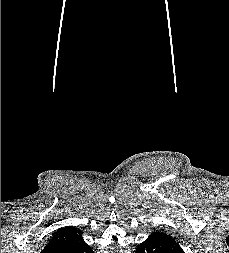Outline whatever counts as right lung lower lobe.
<instances>
[{
    "label": "right lung lower lobe",
    "mask_w": 229,
    "mask_h": 253,
    "mask_svg": "<svg viewBox=\"0 0 229 253\" xmlns=\"http://www.w3.org/2000/svg\"><path fill=\"white\" fill-rule=\"evenodd\" d=\"M53 253H93L92 249L87 245L84 241L83 238L67 247L58 249L54 251Z\"/></svg>",
    "instance_id": "98d812e1"
}]
</instances>
